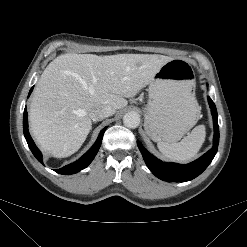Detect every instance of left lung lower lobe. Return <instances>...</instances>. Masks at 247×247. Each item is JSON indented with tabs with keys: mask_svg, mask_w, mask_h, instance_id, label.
Returning a JSON list of instances; mask_svg holds the SVG:
<instances>
[{
	"mask_svg": "<svg viewBox=\"0 0 247 247\" xmlns=\"http://www.w3.org/2000/svg\"><path fill=\"white\" fill-rule=\"evenodd\" d=\"M211 113L214 120L213 148L201 156L199 159L186 164L166 163L151 155L143 145L137 141L139 150L150 171L159 179L167 182H186L200 175L211 163L217 153L219 144V126L217 121V110L214 102L208 97Z\"/></svg>",
	"mask_w": 247,
	"mask_h": 247,
	"instance_id": "0a47b994",
	"label": "left lung lower lobe"
}]
</instances>
